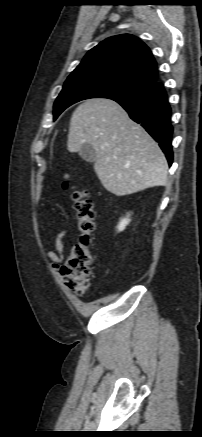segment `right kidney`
I'll use <instances>...</instances> for the list:
<instances>
[{"instance_id": "obj_1", "label": "right kidney", "mask_w": 202, "mask_h": 437, "mask_svg": "<svg viewBox=\"0 0 202 437\" xmlns=\"http://www.w3.org/2000/svg\"><path fill=\"white\" fill-rule=\"evenodd\" d=\"M128 217L129 216H127L126 218L121 219V221L119 222V224L117 226L118 232L123 231L126 228V226L129 224L130 219Z\"/></svg>"}]
</instances>
